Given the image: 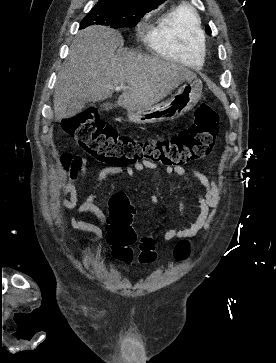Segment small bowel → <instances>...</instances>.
Here are the masks:
<instances>
[{"label":"small bowel","instance_id":"1","mask_svg":"<svg viewBox=\"0 0 276 363\" xmlns=\"http://www.w3.org/2000/svg\"><path fill=\"white\" fill-rule=\"evenodd\" d=\"M87 164L88 159L83 155H72L69 153H64L61 157V168L62 175L61 178L66 181L60 187V192L67 197L60 199V204L68 209H73L77 205V194L78 189L76 186V181L84 179L87 175ZM157 165L150 161H143L141 163H136L134 165H127L124 168L121 167H105L101 169L97 175L95 189L91 192L85 201L77 207V213H90L92 214L101 224L106 222V214L103 210L94 203V199L97 196L98 189L100 188L102 182L106 177L110 175L125 174L127 176H132L134 170L143 171L145 169H154ZM167 174H177L180 176L185 184L190 187L195 196L197 197L200 204V212L195 220L189 227H182L181 224L168 229L163 234V240L165 242L172 241L178 238H184L193 236L203 230H206L210 223L214 220L217 215V210L221 202V192L216 185L215 181L208 179L201 171L194 169L193 173L202 186L205 188V193L199 192L193 185L192 181L188 177L185 169L181 166L171 167L167 166L165 168ZM110 208L116 209L118 211L127 212L131 219L135 216L136 210L129 203L128 198L123 192L113 193L109 198ZM179 212L184 219V206L182 201H178ZM70 224L73 228L83 230L92 234L89 239H81L77 237L71 238L74 243H97L102 239L101 228L89 221L79 219L77 217H72L70 219ZM103 247H97L94 253H103Z\"/></svg>","mask_w":276,"mask_h":363}]
</instances>
